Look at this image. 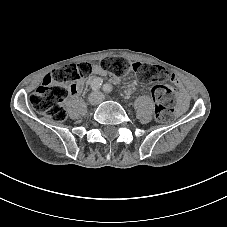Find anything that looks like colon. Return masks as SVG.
Masks as SVG:
<instances>
[{
	"label": "colon",
	"instance_id": "5ec220e1",
	"mask_svg": "<svg viewBox=\"0 0 227 227\" xmlns=\"http://www.w3.org/2000/svg\"><path fill=\"white\" fill-rule=\"evenodd\" d=\"M101 68L114 76H123L132 71L146 82L164 81L172 75L160 65L148 63H129L121 57L104 59ZM93 71L89 62L65 65L48 74L42 84L31 94V107L52 120L60 122L66 118L63 101L69 93H75L79 83ZM155 101V119L161 123L170 122L177 101V95L172 87L158 84L152 88Z\"/></svg>",
	"mask_w": 227,
	"mask_h": 227
}]
</instances>
